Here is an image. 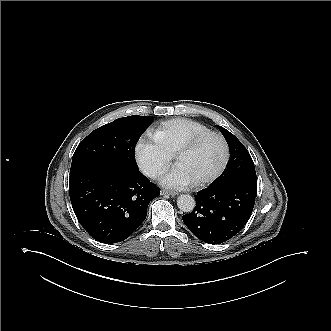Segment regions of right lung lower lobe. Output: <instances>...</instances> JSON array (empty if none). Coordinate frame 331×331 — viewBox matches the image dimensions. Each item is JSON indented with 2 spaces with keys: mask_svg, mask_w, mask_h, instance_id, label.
Returning a JSON list of instances; mask_svg holds the SVG:
<instances>
[{
  "mask_svg": "<svg viewBox=\"0 0 331 331\" xmlns=\"http://www.w3.org/2000/svg\"><path fill=\"white\" fill-rule=\"evenodd\" d=\"M159 188L138 174L105 164L70 171L69 194L83 228L95 240L111 244L127 239L145 220Z\"/></svg>",
  "mask_w": 331,
  "mask_h": 331,
  "instance_id": "right-lung-lower-lobe-1",
  "label": "right lung lower lobe"
}]
</instances>
